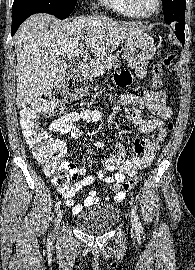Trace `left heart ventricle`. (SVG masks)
Listing matches in <instances>:
<instances>
[{
  "label": "left heart ventricle",
  "instance_id": "obj_1",
  "mask_svg": "<svg viewBox=\"0 0 195 270\" xmlns=\"http://www.w3.org/2000/svg\"><path fill=\"white\" fill-rule=\"evenodd\" d=\"M142 3L144 7L148 10H152L156 6L155 0H142Z\"/></svg>",
  "mask_w": 195,
  "mask_h": 270
}]
</instances>
